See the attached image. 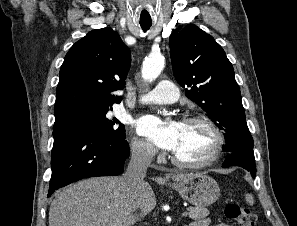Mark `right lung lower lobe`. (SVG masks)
<instances>
[{
    "instance_id": "1",
    "label": "right lung lower lobe",
    "mask_w": 297,
    "mask_h": 226,
    "mask_svg": "<svg viewBox=\"0 0 297 226\" xmlns=\"http://www.w3.org/2000/svg\"><path fill=\"white\" fill-rule=\"evenodd\" d=\"M53 130L48 197L80 179L123 172L130 153L125 138H112L76 125H58Z\"/></svg>"
}]
</instances>
